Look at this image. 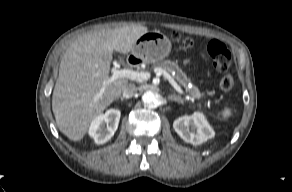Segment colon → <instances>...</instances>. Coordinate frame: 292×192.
Here are the masks:
<instances>
[{
  "label": "colon",
  "mask_w": 292,
  "mask_h": 192,
  "mask_svg": "<svg viewBox=\"0 0 292 192\" xmlns=\"http://www.w3.org/2000/svg\"><path fill=\"white\" fill-rule=\"evenodd\" d=\"M182 44L185 48H190L193 44L190 38H183ZM208 52L213 61V68L217 73H226L231 65L232 56L227 46L219 41L212 40L208 44ZM234 80L230 74H225L220 81V88L228 92L233 88Z\"/></svg>",
  "instance_id": "colon-1"
}]
</instances>
